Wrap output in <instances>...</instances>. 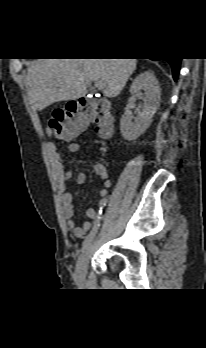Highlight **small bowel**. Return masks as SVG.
<instances>
[{
    "label": "small bowel",
    "mask_w": 206,
    "mask_h": 348,
    "mask_svg": "<svg viewBox=\"0 0 206 348\" xmlns=\"http://www.w3.org/2000/svg\"><path fill=\"white\" fill-rule=\"evenodd\" d=\"M110 134L108 136H110ZM68 150L74 153L78 152L81 150V145L76 142L70 143L68 145ZM48 158L52 166L55 182L59 191L61 192L63 214L67 228L73 233L74 236L82 237L91 225L89 222H84L81 226H77L74 221V198L76 194L66 191V183L72 177L73 171L64 169L61 155L54 144L48 146ZM94 170L100 177L103 188L100 191V201L98 207L88 208L86 214L88 218L97 222L101 218L102 210L107 206L109 202L108 189L111 187V181L109 179L107 168L103 164H95ZM86 179L87 178L85 173H78L76 176V181L78 184H84L86 182Z\"/></svg>",
    "instance_id": "c3829d8e"
}]
</instances>
